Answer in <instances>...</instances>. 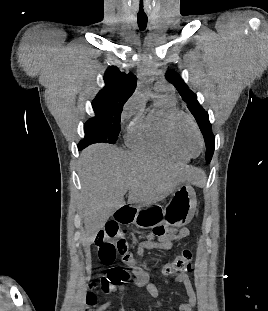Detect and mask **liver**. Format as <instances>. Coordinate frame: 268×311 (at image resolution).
<instances>
[{"instance_id":"obj_1","label":"liver","mask_w":268,"mask_h":311,"mask_svg":"<svg viewBox=\"0 0 268 311\" xmlns=\"http://www.w3.org/2000/svg\"><path fill=\"white\" fill-rule=\"evenodd\" d=\"M201 171L185 164L140 156L108 144H94L81 152L79 209L89 246L112 213L125 204L150 205L163 200L175 188L197 180Z\"/></svg>"}]
</instances>
